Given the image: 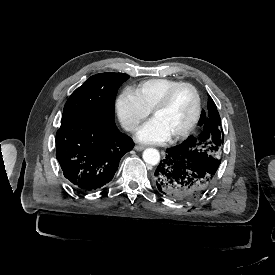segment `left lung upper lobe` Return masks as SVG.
<instances>
[{
    "mask_svg": "<svg viewBox=\"0 0 275 275\" xmlns=\"http://www.w3.org/2000/svg\"><path fill=\"white\" fill-rule=\"evenodd\" d=\"M198 124L203 127V132L198 137L189 136L171 150L200 167L216 173L221 163L218 154L224 142V136L220 116L211 97H208V114L203 110Z\"/></svg>",
    "mask_w": 275,
    "mask_h": 275,
    "instance_id": "5c2ea615",
    "label": "left lung upper lobe"
}]
</instances>
